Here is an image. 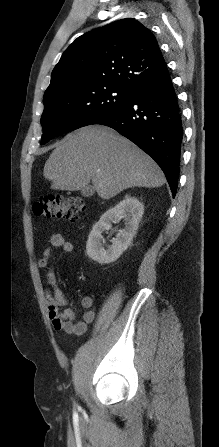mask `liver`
<instances>
[{
    "label": "liver",
    "mask_w": 219,
    "mask_h": 447,
    "mask_svg": "<svg viewBox=\"0 0 219 447\" xmlns=\"http://www.w3.org/2000/svg\"><path fill=\"white\" fill-rule=\"evenodd\" d=\"M43 175L53 190L77 191L92 181L98 196L106 200L131 187L155 188L166 182L151 157L100 125L66 135L46 161Z\"/></svg>",
    "instance_id": "6515ba94"
}]
</instances>
